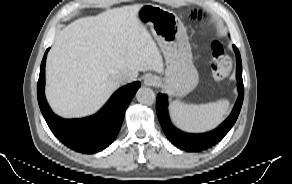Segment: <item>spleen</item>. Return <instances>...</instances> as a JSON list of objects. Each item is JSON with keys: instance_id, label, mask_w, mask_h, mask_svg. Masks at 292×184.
I'll use <instances>...</instances> for the list:
<instances>
[{"instance_id": "spleen-1", "label": "spleen", "mask_w": 292, "mask_h": 184, "mask_svg": "<svg viewBox=\"0 0 292 184\" xmlns=\"http://www.w3.org/2000/svg\"><path fill=\"white\" fill-rule=\"evenodd\" d=\"M172 115H173L174 119H175L179 124H180V123H183V122L185 123V121L188 120V118L185 119V118H182V117H181V114L176 110V107H175L174 105L172 106ZM202 115H203V114H202ZM202 115H201V116H202ZM201 116H200V117H201ZM198 117H199V116H198ZM198 117H197V118H198ZM200 117H199L198 119H201V120L203 119V120H204V117H203V116H202L203 118H202V117L200 118ZM197 118H196V119H197ZM194 119H195V118H194ZM194 121H195V120H194ZM194 121H193V122H194ZM193 122H190V123H189V122L187 121L186 123H187L188 125L186 124L187 126H184V127L182 126V129H184V130H186V131H191V132H195V131H197V128H196L197 126H196V127L194 126L193 128L190 126ZM194 123H195V122H194ZM194 123H193V124H194ZM194 125H195V124H194ZM189 126H190L191 128H190ZM188 127H189V128H188ZM207 128H210V127L208 126ZM198 129H199V128H198ZM198 131H199V130H198ZM200 131H201V130H200ZM202 131H203V130H202Z\"/></svg>"}]
</instances>
